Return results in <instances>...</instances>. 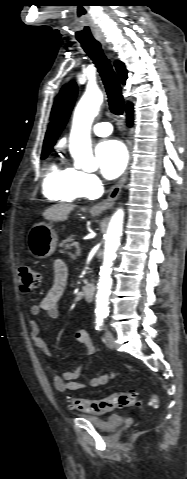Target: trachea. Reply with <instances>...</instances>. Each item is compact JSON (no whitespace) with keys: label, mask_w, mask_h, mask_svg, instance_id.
Instances as JSON below:
<instances>
[{"label":"trachea","mask_w":187,"mask_h":479,"mask_svg":"<svg viewBox=\"0 0 187 479\" xmlns=\"http://www.w3.org/2000/svg\"><path fill=\"white\" fill-rule=\"evenodd\" d=\"M80 44L100 73L108 96L110 111L116 116H121L124 111L121 87L100 43L96 40H88L80 41Z\"/></svg>","instance_id":"trachea-1"}]
</instances>
